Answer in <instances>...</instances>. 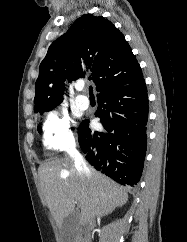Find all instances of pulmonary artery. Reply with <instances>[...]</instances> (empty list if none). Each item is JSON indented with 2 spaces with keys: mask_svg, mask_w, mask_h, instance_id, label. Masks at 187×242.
I'll list each match as a JSON object with an SVG mask.
<instances>
[{
  "mask_svg": "<svg viewBox=\"0 0 187 242\" xmlns=\"http://www.w3.org/2000/svg\"><path fill=\"white\" fill-rule=\"evenodd\" d=\"M76 88H77L78 91H82L83 90V86L82 85H77ZM76 104L81 109H86V108L89 107V99L86 96H84V95H78L76 97Z\"/></svg>",
  "mask_w": 187,
  "mask_h": 242,
  "instance_id": "1",
  "label": "pulmonary artery"
}]
</instances>
